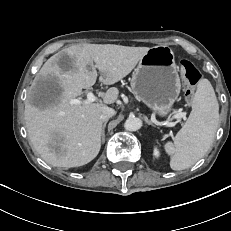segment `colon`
<instances>
[{
    "mask_svg": "<svg viewBox=\"0 0 231 231\" xmlns=\"http://www.w3.org/2000/svg\"><path fill=\"white\" fill-rule=\"evenodd\" d=\"M180 73L188 85L185 90V97L188 99L192 96L193 87L200 81L202 75L200 71L188 60H182L180 62Z\"/></svg>",
    "mask_w": 231,
    "mask_h": 231,
    "instance_id": "1",
    "label": "colon"
}]
</instances>
